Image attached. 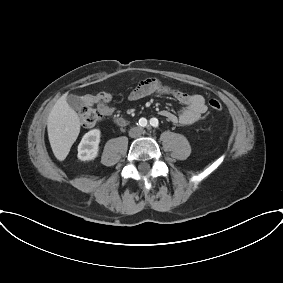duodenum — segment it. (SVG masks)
Listing matches in <instances>:
<instances>
[{
    "label": "duodenum",
    "instance_id": "410a0bca",
    "mask_svg": "<svg viewBox=\"0 0 283 283\" xmlns=\"http://www.w3.org/2000/svg\"><path fill=\"white\" fill-rule=\"evenodd\" d=\"M115 123L118 126H124L126 124V120L124 118H118V119L115 120Z\"/></svg>",
    "mask_w": 283,
    "mask_h": 283
}]
</instances>
